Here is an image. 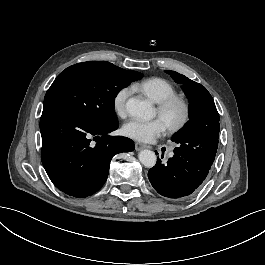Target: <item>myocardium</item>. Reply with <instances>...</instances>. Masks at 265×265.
<instances>
[{
	"label": "myocardium",
	"mask_w": 265,
	"mask_h": 265,
	"mask_svg": "<svg viewBox=\"0 0 265 265\" xmlns=\"http://www.w3.org/2000/svg\"><path fill=\"white\" fill-rule=\"evenodd\" d=\"M174 108L179 109L180 116L176 122L172 123L168 121L167 117L170 111ZM157 114L164 122L169 132L177 133L183 130L189 123L191 117V107L184 97L175 94L158 103Z\"/></svg>",
	"instance_id": "myocardium-1"
}]
</instances>
